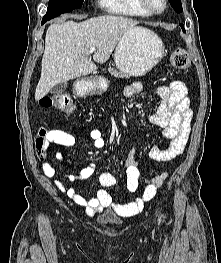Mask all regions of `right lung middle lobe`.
Listing matches in <instances>:
<instances>
[{
  "instance_id": "right-lung-middle-lobe-1",
  "label": "right lung middle lobe",
  "mask_w": 221,
  "mask_h": 263,
  "mask_svg": "<svg viewBox=\"0 0 221 263\" xmlns=\"http://www.w3.org/2000/svg\"><path fill=\"white\" fill-rule=\"evenodd\" d=\"M84 0H49L46 15L42 20H50L60 14L73 11L81 7Z\"/></svg>"
}]
</instances>
